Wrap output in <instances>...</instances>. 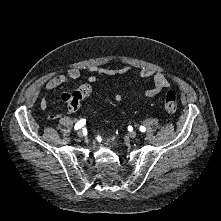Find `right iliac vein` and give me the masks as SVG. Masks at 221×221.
I'll use <instances>...</instances> for the list:
<instances>
[{
  "instance_id": "right-iliac-vein-1",
  "label": "right iliac vein",
  "mask_w": 221,
  "mask_h": 221,
  "mask_svg": "<svg viewBox=\"0 0 221 221\" xmlns=\"http://www.w3.org/2000/svg\"><path fill=\"white\" fill-rule=\"evenodd\" d=\"M77 136H78L79 138H82V137L84 136V134H83V132H82L81 130H79V131L77 132Z\"/></svg>"
}]
</instances>
